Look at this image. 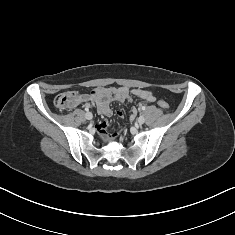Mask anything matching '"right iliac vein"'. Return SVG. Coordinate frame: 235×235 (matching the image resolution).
<instances>
[{
  "instance_id": "right-iliac-vein-1",
  "label": "right iliac vein",
  "mask_w": 235,
  "mask_h": 235,
  "mask_svg": "<svg viewBox=\"0 0 235 235\" xmlns=\"http://www.w3.org/2000/svg\"><path fill=\"white\" fill-rule=\"evenodd\" d=\"M85 116H86V119H88V120H91L93 118V115L90 112L86 113Z\"/></svg>"
}]
</instances>
